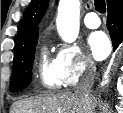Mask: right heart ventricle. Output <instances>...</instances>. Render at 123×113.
Wrapping results in <instances>:
<instances>
[{"mask_svg":"<svg viewBox=\"0 0 123 113\" xmlns=\"http://www.w3.org/2000/svg\"><path fill=\"white\" fill-rule=\"evenodd\" d=\"M40 82L49 89L59 88L62 83L56 70L55 60L48 57L46 51L42 52L39 63Z\"/></svg>","mask_w":123,"mask_h":113,"instance_id":"right-heart-ventricle-1","label":"right heart ventricle"}]
</instances>
